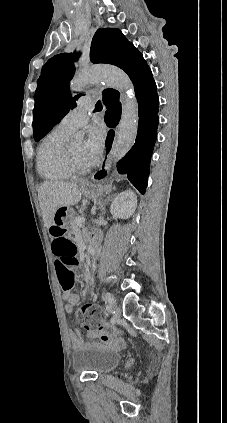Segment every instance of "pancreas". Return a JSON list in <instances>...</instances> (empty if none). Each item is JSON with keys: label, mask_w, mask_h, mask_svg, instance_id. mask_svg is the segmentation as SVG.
<instances>
[{"label": "pancreas", "mask_w": 227, "mask_h": 423, "mask_svg": "<svg viewBox=\"0 0 227 423\" xmlns=\"http://www.w3.org/2000/svg\"><path fill=\"white\" fill-rule=\"evenodd\" d=\"M75 217H81V215H77V213H74V217L73 219H71V223H70L71 233H78V231H80L81 229V225H79V223H76Z\"/></svg>", "instance_id": "1"}]
</instances>
